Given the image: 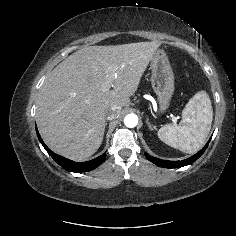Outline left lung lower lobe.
Wrapping results in <instances>:
<instances>
[{"label":"left lung lower lobe","instance_id":"0a47b994","mask_svg":"<svg viewBox=\"0 0 236 236\" xmlns=\"http://www.w3.org/2000/svg\"><path fill=\"white\" fill-rule=\"evenodd\" d=\"M210 140L198 153H196L195 155L191 156L190 158H187L182 161L162 160L159 158L152 157V156L148 155L147 153H145V156L149 161H151L152 163H154L158 166H161L164 168H180V167H183V166H186V165H189V164H192L193 162H195L205 152Z\"/></svg>","mask_w":236,"mask_h":236}]
</instances>
